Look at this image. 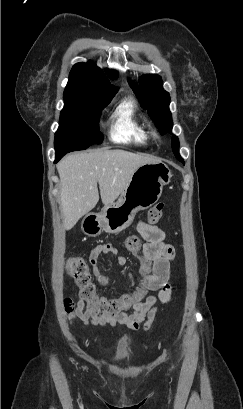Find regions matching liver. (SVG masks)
I'll list each match as a JSON object with an SVG mask.
<instances>
[{
  "instance_id": "6515ba94",
  "label": "liver",
  "mask_w": 243,
  "mask_h": 409,
  "mask_svg": "<svg viewBox=\"0 0 243 409\" xmlns=\"http://www.w3.org/2000/svg\"><path fill=\"white\" fill-rule=\"evenodd\" d=\"M157 160L124 150H93L66 156L57 164L60 177V208L66 230L91 211L100 196L113 204L136 169Z\"/></svg>"
}]
</instances>
